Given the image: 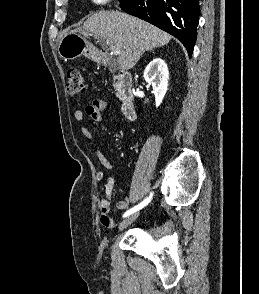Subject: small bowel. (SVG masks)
<instances>
[{"mask_svg":"<svg viewBox=\"0 0 259 294\" xmlns=\"http://www.w3.org/2000/svg\"><path fill=\"white\" fill-rule=\"evenodd\" d=\"M107 108V102L103 99H96L90 105L85 108V111L76 110L74 112V118L77 121H82L84 116L87 115L94 122H100L102 118V113ZM82 134L88 138L95 147V153L100 161L101 165L106 170H112L114 168L113 164L107 158L105 153L99 146L97 138L95 135L90 132V130L86 127L81 128ZM96 178L98 181L104 182V193L100 199V222L104 227L113 228L115 226V222L109 216L110 206H111V195L114 189L115 180L113 177L109 176L106 171L100 170L96 173ZM117 207L120 210H125L129 207V202L126 199L119 200L117 202Z\"/></svg>","mask_w":259,"mask_h":294,"instance_id":"1","label":"small bowel"}]
</instances>
